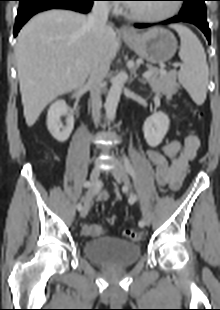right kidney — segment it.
<instances>
[{
  "instance_id": "1",
  "label": "right kidney",
  "mask_w": 220,
  "mask_h": 310,
  "mask_svg": "<svg viewBox=\"0 0 220 310\" xmlns=\"http://www.w3.org/2000/svg\"><path fill=\"white\" fill-rule=\"evenodd\" d=\"M62 116H66L65 125L61 122ZM47 128L58 142H65L69 138L74 128V117L64 100H57L50 105L47 113Z\"/></svg>"
}]
</instances>
